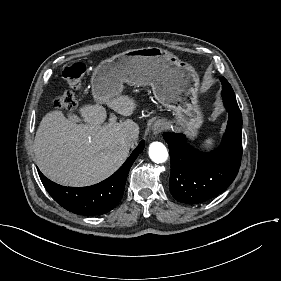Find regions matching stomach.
<instances>
[{
    "mask_svg": "<svg viewBox=\"0 0 281 281\" xmlns=\"http://www.w3.org/2000/svg\"><path fill=\"white\" fill-rule=\"evenodd\" d=\"M123 83L151 86L155 99L175 112V128L194 139L203 123L199 76L187 62L159 47L131 49L103 60L93 71L92 95L102 103L121 95Z\"/></svg>",
    "mask_w": 281,
    "mask_h": 281,
    "instance_id": "stomach-1",
    "label": "stomach"
}]
</instances>
